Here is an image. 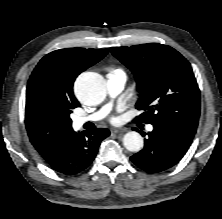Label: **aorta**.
<instances>
[{"label": "aorta", "mask_w": 222, "mask_h": 219, "mask_svg": "<svg viewBox=\"0 0 222 219\" xmlns=\"http://www.w3.org/2000/svg\"><path fill=\"white\" fill-rule=\"evenodd\" d=\"M75 92L85 104L96 105L105 99V82L101 75L94 72H85L77 78ZM123 144L127 150L138 152L143 148L144 142L138 132L131 131L124 135Z\"/></svg>", "instance_id": "obj_1"}]
</instances>
